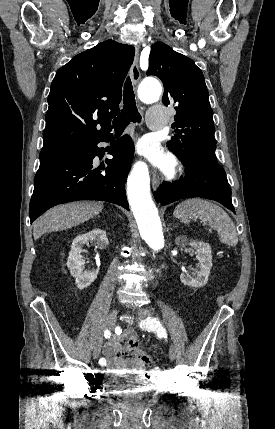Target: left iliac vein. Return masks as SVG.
Masks as SVG:
<instances>
[{
    "mask_svg": "<svg viewBox=\"0 0 275 429\" xmlns=\"http://www.w3.org/2000/svg\"><path fill=\"white\" fill-rule=\"evenodd\" d=\"M137 314L142 319H145V320L152 317V313L149 310L143 309V308L137 309ZM176 357H177V349L174 345H172L170 347L169 358H170V360H175Z\"/></svg>",
    "mask_w": 275,
    "mask_h": 429,
    "instance_id": "obj_1",
    "label": "left iliac vein"
}]
</instances>
